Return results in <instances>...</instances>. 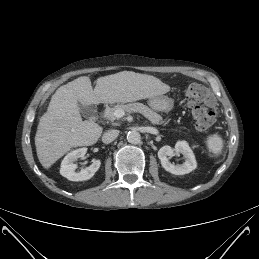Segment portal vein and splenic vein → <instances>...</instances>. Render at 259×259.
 I'll return each instance as SVG.
<instances>
[{
	"label": "portal vein and splenic vein",
	"instance_id": "obj_1",
	"mask_svg": "<svg viewBox=\"0 0 259 259\" xmlns=\"http://www.w3.org/2000/svg\"><path fill=\"white\" fill-rule=\"evenodd\" d=\"M125 115V111H123V110H116L115 112H114V116L116 117V118H121V117H123Z\"/></svg>",
	"mask_w": 259,
	"mask_h": 259
}]
</instances>
